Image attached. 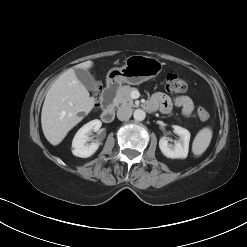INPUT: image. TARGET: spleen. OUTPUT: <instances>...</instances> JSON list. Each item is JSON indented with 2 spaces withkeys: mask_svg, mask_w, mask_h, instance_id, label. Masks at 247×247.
Instances as JSON below:
<instances>
[{
  "mask_svg": "<svg viewBox=\"0 0 247 247\" xmlns=\"http://www.w3.org/2000/svg\"><path fill=\"white\" fill-rule=\"evenodd\" d=\"M213 132L210 127H204L195 136L192 151L195 156L202 155L209 147Z\"/></svg>",
  "mask_w": 247,
  "mask_h": 247,
  "instance_id": "3e777b00",
  "label": "spleen"
}]
</instances>
